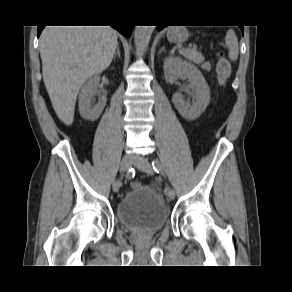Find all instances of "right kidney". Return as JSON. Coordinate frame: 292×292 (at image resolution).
I'll return each mask as SVG.
<instances>
[{
  "mask_svg": "<svg viewBox=\"0 0 292 292\" xmlns=\"http://www.w3.org/2000/svg\"><path fill=\"white\" fill-rule=\"evenodd\" d=\"M100 77L98 75L90 78L82 87L79 94V112L82 118L95 121L101 115L106 98L100 97L98 103L94 104L93 96L97 94Z\"/></svg>",
  "mask_w": 292,
  "mask_h": 292,
  "instance_id": "ca27d5eb",
  "label": "right kidney"
}]
</instances>
